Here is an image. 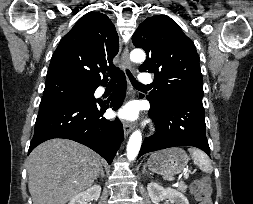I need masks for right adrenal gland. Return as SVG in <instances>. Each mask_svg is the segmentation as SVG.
<instances>
[{
	"instance_id": "1",
	"label": "right adrenal gland",
	"mask_w": 253,
	"mask_h": 204,
	"mask_svg": "<svg viewBox=\"0 0 253 204\" xmlns=\"http://www.w3.org/2000/svg\"><path fill=\"white\" fill-rule=\"evenodd\" d=\"M100 176L103 177V178L105 177V174H104V171H103L102 167L100 169V174L97 176V178L100 177Z\"/></svg>"
}]
</instances>
